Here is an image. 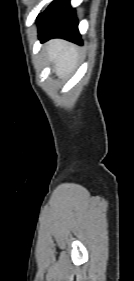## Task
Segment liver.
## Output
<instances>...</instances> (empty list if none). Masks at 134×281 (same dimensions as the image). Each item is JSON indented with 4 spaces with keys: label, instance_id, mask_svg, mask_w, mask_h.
Segmentation results:
<instances>
[{
    "label": "liver",
    "instance_id": "obj_1",
    "mask_svg": "<svg viewBox=\"0 0 134 281\" xmlns=\"http://www.w3.org/2000/svg\"><path fill=\"white\" fill-rule=\"evenodd\" d=\"M47 52L58 76L64 78L74 71L78 60L76 46L63 40H51L47 44Z\"/></svg>",
    "mask_w": 134,
    "mask_h": 281
}]
</instances>
